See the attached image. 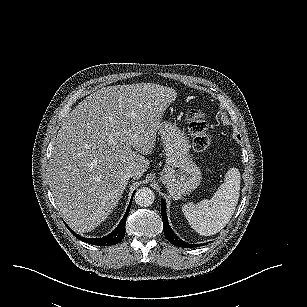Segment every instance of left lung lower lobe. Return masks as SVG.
Instances as JSON below:
<instances>
[{"instance_id": "left-lung-lower-lobe-1", "label": "left lung lower lobe", "mask_w": 307, "mask_h": 307, "mask_svg": "<svg viewBox=\"0 0 307 307\" xmlns=\"http://www.w3.org/2000/svg\"><path fill=\"white\" fill-rule=\"evenodd\" d=\"M161 214H162V220H163V225H164V234L165 237L174 245L182 247V248H192V247H198V246H202V244L200 245H191L188 243H185L184 241H182L181 239H179L175 233L172 231L169 223H168V219H167V215H166V206H165V201L162 199V208H161ZM205 245V244H203Z\"/></svg>"}]
</instances>
